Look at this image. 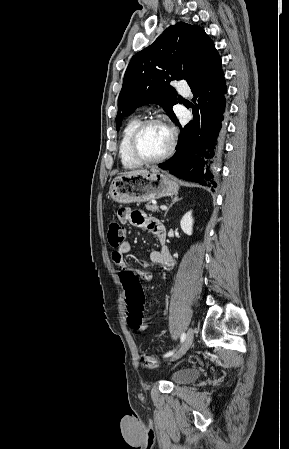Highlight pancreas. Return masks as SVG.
<instances>
[{"label":"pancreas","instance_id":"1","mask_svg":"<svg viewBox=\"0 0 289 449\" xmlns=\"http://www.w3.org/2000/svg\"><path fill=\"white\" fill-rule=\"evenodd\" d=\"M146 208L151 212H159V208L157 205L148 203V204H146Z\"/></svg>","mask_w":289,"mask_h":449}]
</instances>
